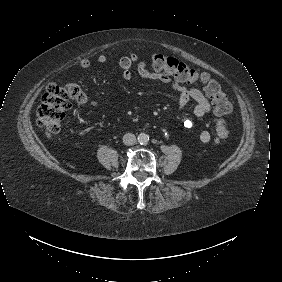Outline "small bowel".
I'll return each mask as SVG.
<instances>
[{
    "instance_id": "c3829d8e",
    "label": "small bowel",
    "mask_w": 282,
    "mask_h": 282,
    "mask_svg": "<svg viewBox=\"0 0 282 282\" xmlns=\"http://www.w3.org/2000/svg\"><path fill=\"white\" fill-rule=\"evenodd\" d=\"M97 62L99 64H105L107 62V57L105 55H99L97 57ZM133 65H136L137 72L140 77L162 82L171 86L178 93V105L180 109L185 108L190 101H194L195 106L193 113L195 116L202 117L212 112L210 100L202 90L186 86L180 83V81L171 78L167 74L155 69H150L148 62L146 60H139L135 53H130L129 55L123 56L119 60V66L122 69L121 77L124 81H129L132 79L131 68ZM79 66L82 69H88L91 66V62L89 59L83 58L80 60ZM189 125H191V123L187 121V126ZM210 139L211 135L207 130L200 131L199 140L202 143H208Z\"/></svg>"
}]
</instances>
